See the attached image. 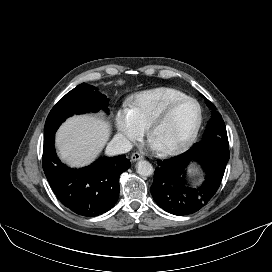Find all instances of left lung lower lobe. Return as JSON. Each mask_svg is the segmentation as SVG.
Segmentation results:
<instances>
[{
    "label": "left lung lower lobe",
    "mask_w": 272,
    "mask_h": 272,
    "mask_svg": "<svg viewBox=\"0 0 272 272\" xmlns=\"http://www.w3.org/2000/svg\"><path fill=\"white\" fill-rule=\"evenodd\" d=\"M229 156L228 148L198 142L179 156L159 160L150 188L154 200L174 215L197 212L219 188ZM193 160L202 164L206 174L205 181L199 187L189 186L185 181V170Z\"/></svg>",
    "instance_id": "obj_1"
}]
</instances>
